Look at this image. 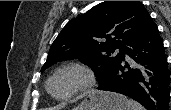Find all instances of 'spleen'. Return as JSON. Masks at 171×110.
Returning a JSON list of instances; mask_svg holds the SVG:
<instances>
[{"label":"spleen","mask_w":171,"mask_h":110,"mask_svg":"<svg viewBox=\"0 0 171 110\" xmlns=\"http://www.w3.org/2000/svg\"><path fill=\"white\" fill-rule=\"evenodd\" d=\"M126 110H144V108L136 101L131 99H126L125 101Z\"/></svg>","instance_id":"3e777b00"}]
</instances>
